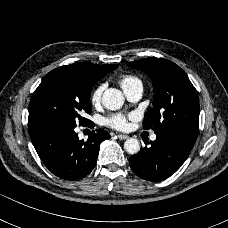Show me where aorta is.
I'll use <instances>...</instances> for the list:
<instances>
[{
	"label": "aorta",
	"mask_w": 228,
	"mask_h": 228,
	"mask_svg": "<svg viewBox=\"0 0 228 228\" xmlns=\"http://www.w3.org/2000/svg\"><path fill=\"white\" fill-rule=\"evenodd\" d=\"M125 97L119 89L110 88L103 94V104L109 110H118L124 105ZM129 154H136L140 150V143L135 138H129L124 143Z\"/></svg>",
	"instance_id": "762f6f07"
}]
</instances>
